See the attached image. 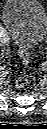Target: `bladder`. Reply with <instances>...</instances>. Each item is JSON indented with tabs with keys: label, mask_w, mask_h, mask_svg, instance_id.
<instances>
[{
	"label": "bladder",
	"mask_w": 47,
	"mask_h": 129,
	"mask_svg": "<svg viewBox=\"0 0 47 129\" xmlns=\"http://www.w3.org/2000/svg\"><path fill=\"white\" fill-rule=\"evenodd\" d=\"M2 23L15 45L29 52L41 43L47 32V16L38 0H7Z\"/></svg>",
	"instance_id": "31cf9c89"
}]
</instances>
